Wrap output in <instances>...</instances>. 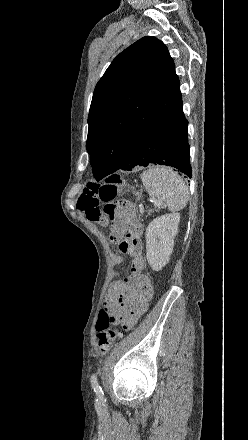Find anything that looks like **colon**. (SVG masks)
Segmentation results:
<instances>
[{
	"mask_svg": "<svg viewBox=\"0 0 248 440\" xmlns=\"http://www.w3.org/2000/svg\"><path fill=\"white\" fill-rule=\"evenodd\" d=\"M121 184L122 179L119 175L109 176L103 183L90 182L77 200V208L85 213L88 220L112 229L113 242L119 240V236L113 230L115 214L118 208L122 211L124 208V202L118 204L114 201ZM134 194L138 199L141 197L139 191ZM101 203L104 205L101 206ZM113 322L112 311L106 307L102 309L97 322L98 346L101 353L108 352L122 336L121 332L111 327Z\"/></svg>",
	"mask_w": 248,
	"mask_h": 440,
	"instance_id": "5ec220e1",
	"label": "colon"
}]
</instances>
